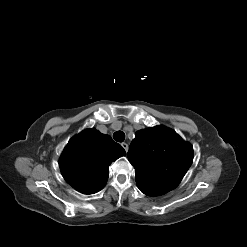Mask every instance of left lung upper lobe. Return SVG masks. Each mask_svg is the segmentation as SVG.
<instances>
[{
    "label": "left lung upper lobe",
    "instance_id": "5c2ea615",
    "mask_svg": "<svg viewBox=\"0 0 247 247\" xmlns=\"http://www.w3.org/2000/svg\"><path fill=\"white\" fill-rule=\"evenodd\" d=\"M138 188L148 196L165 194L180 183L193 161V147L164 126L140 130L127 154Z\"/></svg>",
    "mask_w": 247,
    "mask_h": 247
}]
</instances>
